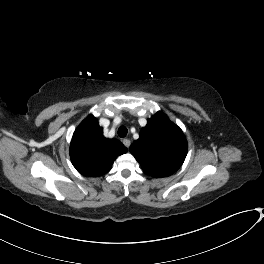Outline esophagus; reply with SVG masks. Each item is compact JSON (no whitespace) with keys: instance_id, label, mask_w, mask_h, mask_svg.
Masks as SVG:
<instances>
[{"instance_id":"1","label":"esophagus","mask_w":264,"mask_h":264,"mask_svg":"<svg viewBox=\"0 0 264 264\" xmlns=\"http://www.w3.org/2000/svg\"><path fill=\"white\" fill-rule=\"evenodd\" d=\"M123 144L128 148L131 144V141L129 139H123Z\"/></svg>"}]
</instances>
